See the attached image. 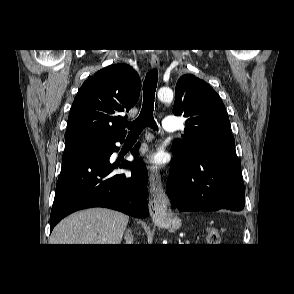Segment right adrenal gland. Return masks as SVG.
Listing matches in <instances>:
<instances>
[{
	"label": "right adrenal gland",
	"instance_id": "obj_1",
	"mask_svg": "<svg viewBox=\"0 0 294 294\" xmlns=\"http://www.w3.org/2000/svg\"><path fill=\"white\" fill-rule=\"evenodd\" d=\"M124 239L126 241L125 244H133V236L130 229L125 232Z\"/></svg>",
	"mask_w": 294,
	"mask_h": 294
}]
</instances>
